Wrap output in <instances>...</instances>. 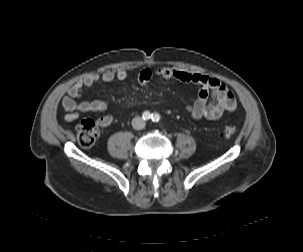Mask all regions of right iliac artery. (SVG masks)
<instances>
[{"label": "right iliac artery", "mask_w": 303, "mask_h": 252, "mask_svg": "<svg viewBox=\"0 0 303 252\" xmlns=\"http://www.w3.org/2000/svg\"><path fill=\"white\" fill-rule=\"evenodd\" d=\"M142 117H143L144 120H149L152 117V115L149 111H145L143 113Z\"/></svg>", "instance_id": "1"}]
</instances>
